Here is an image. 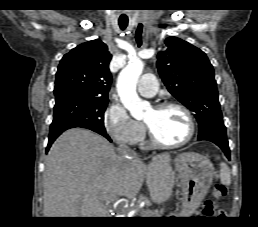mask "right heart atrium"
<instances>
[{
    "mask_svg": "<svg viewBox=\"0 0 258 227\" xmlns=\"http://www.w3.org/2000/svg\"><path fill=\"white\" fill-rule=\"evenodd\" d=\"M104 127L110 137L118 144L133 146L144 137L142 123L134 120L120 104H111L104 114Z\"/></svg>",
    "mask_w": 258,
    "mask_h": 227,
    "instance_id": "obj_1",
    "label": "right heart atrium"
}]
</instances>
